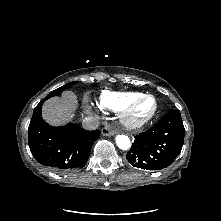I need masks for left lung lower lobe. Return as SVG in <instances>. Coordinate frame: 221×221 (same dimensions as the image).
<instances>
[{"label":"left lung lower lobe","instance_id":"obj_1","mask_svg":"<svg viewBox=\"0 0 221 221\" xmlns=\"http://www.w3.org/2000/svg\"><path fill=\"white\" fill-rule=\"evenodd\" d=\"M184 134L180 111L173 110L164 115L152 128L135 136L126 158L137 168L163 169L181 152Z\"/></svg>","mask_w":221,"mask_h":221}]
</instances>
